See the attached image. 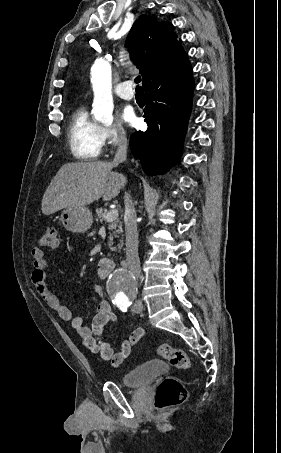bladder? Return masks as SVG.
Listing matches in <instances>:
<instances>
[{
  "mask_svg": "<svg viewBox=\"0 0 281 453\" xmlns=\"http://www.w3.org/2000/svg\"><path fill=\"white\" fill-rule=\"evenodd\" d=\"M167 370L168 366L165 362L153 360L125 373L121 381L126 387H140L150 382L155 377L166 373Z\"/></svg>",
  "mask_w": 281,
  "mask_h": 453,
  "instance_id": "bladder-1",
  "label": "bladder"
}]
</instances>
